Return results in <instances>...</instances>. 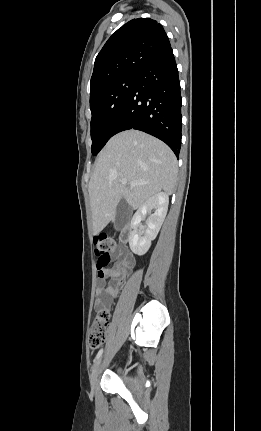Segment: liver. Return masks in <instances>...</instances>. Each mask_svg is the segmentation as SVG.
I'll return each instance as SVG.
<instances>
[{
  "instance_id": "obj_1",
  "label": "liver",
  "mask_w": 261,
  "mask_h": 431,
  "mask_svg": "<svg viewBox=\"0 0 261 431\" xmlns=\"http://www.w3.org/2000/svg\"><path fill=\"white\" fill-rule=\"evenodd\" d=\"M177 159L159 139L137 130L113 136L99 153L89 182L93 233L101 232L115 217L121 199L140 208L163 190L171 195L177 183ZM127 180L128 185L121 184ZM130 183H144L131 187Z\"/></svg>"
}]
</instances>
